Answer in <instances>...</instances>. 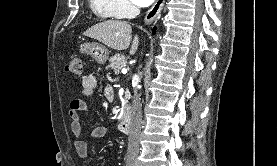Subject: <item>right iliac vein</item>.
Returning a JSON list of instances; mask_svg holds the SVG:
<instances>
[{
    "label": "right iliac vein",
    "mask_w": 277,
    "mask_h": 166,
    "mask_svg": "<svg viewBox=\"0 0 277 166\" xmlns=\"http://www.w3.org/2000/svg\"><path fill=\"white\" fill-rule=\"evenodd\" d=\"M127 166H135L133 162H128Z\"/></svg>",
    "instance_id": "1"
}]
</instances>
